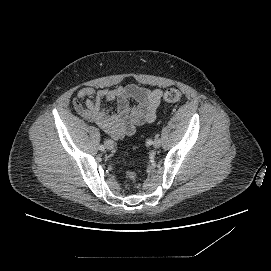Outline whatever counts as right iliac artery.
Instances as JSON below:
<instances>
[{
  "label": "right iliac artery",
  "mask_w": 271,
  "mask_h": 271,
  "mask_svg": "<svg viewBox=\"0 0 271 271\" xmlns=\"http://www.w3.org/2000/svg\"><path fill=\"white\" fill-rule=\"evenodd\" d=\"M99 150L104 151L105 150V146L104 145H100L99 146Z\"/></svg>",
  "instance_id": "82829eb1"
}]
</instances>
